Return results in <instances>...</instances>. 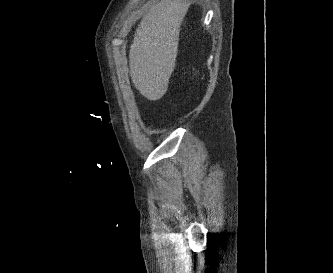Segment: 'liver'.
I'll list each match as a JSON object with an SVG mask.
<instances>
[{"label": "liver", "instance_id": "obj_1", "mask_svg": "<svg viewBox=\"0 0 333 273\" xmlns=\"http://www.w3.org/2000/svg\"><path fill=\"white\" fill-rule=\"evenodd\" d=\"M187 8L185 0H161L136 29L129 52L130 75L135 88L149 100H159L167 91Z\"/></svg>", "mask_w": 333, "mask_h": 273}]
</instances>
